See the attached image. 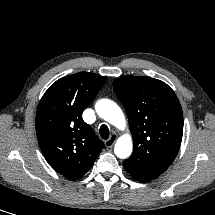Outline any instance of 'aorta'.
Here are the masks:
<instances>
[{
	"label": "aorta",
	"instance_id": "obj_1",
	"mask_svg": "<svg viewBox=\"0 0 215 215\" xmlns=\"http://www.w3.org/2000/svg\"><path fill=\"white\" fill-rule=\"evenodd\" d=\"M95 110L101 118L115 127L121 130L125 128L126 122L124 114L115 102L109 99H101L96 103ZM132 148L133 144L131 136L125 134L117 140L114 152L117 157L125 159L131 155Z\"/></svg>",
	"mask_w": 215,
	"mask_h": 215
}]
</instances>
